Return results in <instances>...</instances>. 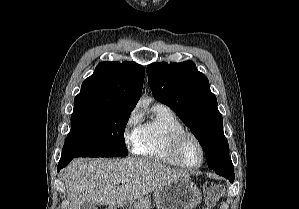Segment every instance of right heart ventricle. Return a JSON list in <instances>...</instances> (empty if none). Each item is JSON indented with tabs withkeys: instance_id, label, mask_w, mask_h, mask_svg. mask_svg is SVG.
I'll return each mask as SVG.
<instances>
[{
	"instance_id": "1",
	"label": "right heart ventricle",
	"mask_w": 299,
	"mask_h": 209,
	"mask_svg": "<svg viewBox=\"0 0 299 209\" xmlns=\"http://www.w3.org/2000/svg\"><path fill=\"white\" fill-rule=\"evenodd\" d=\"M182 131L185 128L175 113L156 104L152 107L150 118L139 125L133 151L145 158L176 166L170 155V141Z\"/></svg>"
}]
</instances>
